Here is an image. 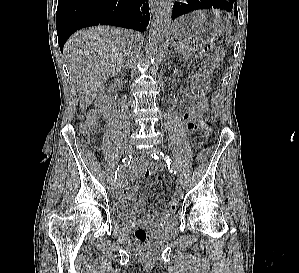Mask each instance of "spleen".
<instances>
[{"label":"spleen","instance_id":"spleen-1","mask_svg":"<svg viewBox=\"0 0 299 273\" xmlns=\"http://www.w3.org/2000/svg\"><path fill=\"white\" fill-rule=\"evenodd\" d=\"M228 33H231V31L229 30V31H228ZM229 43H232V41H231V40H229V41H228V45H229Z\"/></svg>","mask_w":299,"mask_h":273}]
</instances>
